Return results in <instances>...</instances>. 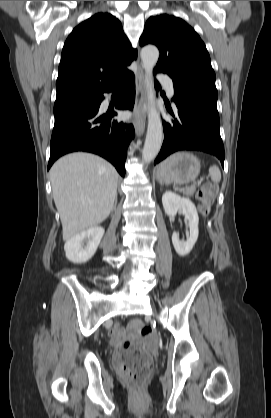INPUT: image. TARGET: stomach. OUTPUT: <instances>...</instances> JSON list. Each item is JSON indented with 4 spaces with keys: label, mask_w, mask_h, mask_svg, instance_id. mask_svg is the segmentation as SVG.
I'll list each match as a JSON object with an SVG mask.
<instances>
[{
    "label": "stomach",
    "mask_w": 271,
    "mask_h": 418,
    "mask_svg": "<svg viewBox=\"0 0 271 418\" xmlns=\"http://www.w3.org/2000/svg\"><path fill=\"white\" fill-rule=\"evenodd\" d=\"M200 161L188 152H177L164 160L156 171L160 183L185 184L194 181L200 172Z\"/></svg>",
    "instance_id": "obj_1"
}]
</instances>
